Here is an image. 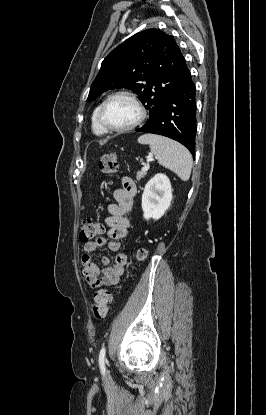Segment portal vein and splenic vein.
I'll use <instances>...</instances> for the list:
<instances>
[{
	"label": "portal vein and splenic vein",
	"instance_id": "portal-vein-and-splenic-vein-1",
	"mask_svg": "<svg viewBox=\"0 0 266 415\" xmlns=\"http://www.w3.org/2000/svg\"><path fill=\"white\" fill-rule=\"evenodd\" d=\"M153 158L152 157H149L148 158V160H152ZM149 164H146V165H144L143 167H142V171H147L148 169H149Z\"/></svg>",
	"mask_w": 266,
	"mask_h": 415
}]
</instances>
